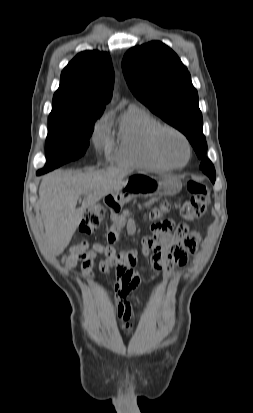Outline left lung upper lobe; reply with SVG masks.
<instances>
[{
    "label": "left lung upper lobe",
    "instance_id": "1",
    "mask_svg": "<svg viewBox=\"0 0 253 413\" xmlns=\"http://www.w3.org/2000/svg\"><path fill=\"white\" fill-rule=\"evenodd\" d=\"M125 79L132 93L153 113L180 130L192 144L200 169L215 182V169L205 157L202 113L190 73L165 44L152 41L129 49L122 60Z\"/></svg>",
    "mask_w": 253,
    "mask_h": 413
}]
</instances>
